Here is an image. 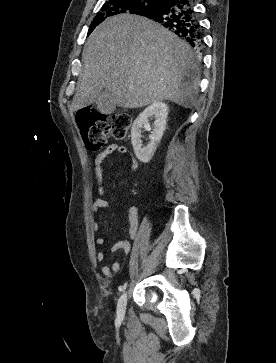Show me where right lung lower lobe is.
<instances>
[{
  "label": "right lung lower lobe",
  "mask_w": 276,
  "mask_h": 363,
  "mask_svg": "<svg viewBox=\"0 0 276 363\" xmlns=\"http://www.w3.org/2000/svg\"><path fill=\"white\" fill-rule=\"evenodd\" d=\"M137 15L161 24L197 50H201L200 25L193 10L192 0H160Z\"/></svg>",
  "instance_id": "obj_1"
}]
</instances>
